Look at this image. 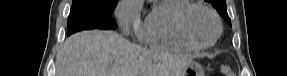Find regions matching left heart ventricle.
I'll list each match as a JSON object with an SVG mask.
<instances>
[{
  "mask_svg": "<svg viewBox=\"0 0 287 76\" xmlns=\"http://www.w3.org/2000/svg\"><path fill=\"white\" fill-rule=\"evenodd\" d=\"M190 37L198 43L210 42L217 31L213 18L202 9H194L186 19Z\"/></svg>",
  "mask_w": 287,
  "mask_h": 76,
  "instance_id": "left-heart-ventricle-1",
  "label": "left heart ventricle"
}]
</instances>
